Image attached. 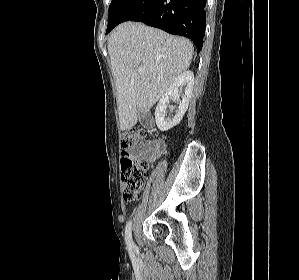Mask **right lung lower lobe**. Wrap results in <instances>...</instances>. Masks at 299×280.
Here are the masks:
<instances>
[{
    "mask_svg": "<svg viewBox=\"0 0 299 280\" xmlns=\"http://www.w3.org/2000/svg\"><path fill=\"white\" fill-rule=\"evenodd\" d=\"M205 5L206 0H128L111 30L124 21L143 22L191 39L199 53L205 34Z\"/></svg>",
    "mask_w": 299,
    "mask_h": 280,
    "instance_id": "right-lung-lower-lobe-1",
    "label": "right lung lower lobe"
}]
</instances>
